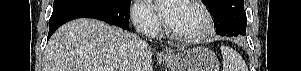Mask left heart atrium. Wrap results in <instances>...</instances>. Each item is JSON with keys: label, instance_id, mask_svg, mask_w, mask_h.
I'll use <instances>...</instances> for the list:
<instances>
[{"label": "left heart atrium", "instance_id": "1", "mask_svg": "<svg viewBox=\"0 0 301 71\" xmlns=\"http://www.w3.org/2000/svg\"><path fill=\"white\" fill-rule=\"evenodd\" d=\"M150 6L159 12L168 24L174 20L180 0H148Z\"/></svg>", "mask_w": 301, "mask_h": 71}]
</instances>
